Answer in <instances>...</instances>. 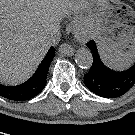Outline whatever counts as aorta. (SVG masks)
Instances as JSON below:
<instances>
[{
  "label": "aorta",
  "instance_id": "obj_1",
  "mask_svg": "<svg viewBox=\"0 0 135 135\" xmlns=\"http://www.w3.org/2000/svg\"><path fill=\"white\" fill-rule=\"evenodd\" d=\"M76 64L83 69H89L93 63L92 53L87 48H79L75 53Z\"/></svg>",
  "mask_w": 135,
  "mask_h": 135
}]
</instances>
